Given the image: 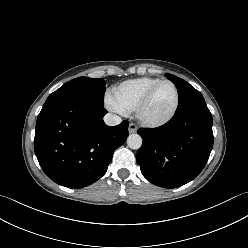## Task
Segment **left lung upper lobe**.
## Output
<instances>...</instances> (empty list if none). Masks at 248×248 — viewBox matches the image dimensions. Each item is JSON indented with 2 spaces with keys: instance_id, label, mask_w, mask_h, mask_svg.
<instances>
[{
  "instance_id": "5c2ea615",
  "label": "left lung upper lobe",
  "mask_w": 248,
  "mask_h": 248,
  "mask_svg": "<svg viewBox=\"0 0 248 248\" xmlns=\"http://www.w3.org/2000/svg\"><path fill=\"white\" fill-rule=\"evenodd\" d=\"M165 75L179 90V104L176 112L182 111L197 102L205 101L202 94L183 79L172 74Z\"/></svg>"
}]
</instances>
